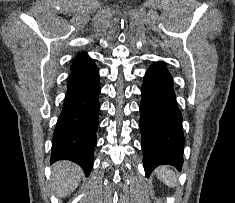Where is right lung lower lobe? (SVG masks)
<instances>
[{"label": "right lung lower lobe", "instance_id": "1", "mask_svg": "<svg viewBox=\"0 0 235 203\" xmlns=\"http://www.w3.org/2000/svg\"><path fill=\"white\" fill-rule=\"evenodd\" d=\"M99 94V72L91 59L72 69L53 134L51 164L70 160L80 165L89 176L99 122Z\"/></svg>", "mask_w": 235, "mask_h": 203}]
</instances>
